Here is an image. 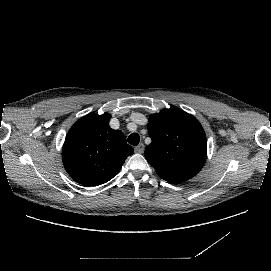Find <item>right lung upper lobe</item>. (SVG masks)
<instances>
[{
  "label": "right lung upper lobe",
  "mask_w": 271,
  "mask_h": 271,
  "mask_svg": "<svg viewBox=\"0 0 271 271\" xmlns=\"http://www.w3.org/2000/svg\"><path fill=\"white\" fill-rule=\"evenodd\" d=\"M110 114L90 113L71 127L62 149L63 164L74 181L84 186L108 182L120 171L133 148L120 130L109 126Z\"/></svg>",
  "instance_id": "obj_1"
}]
</instances>
